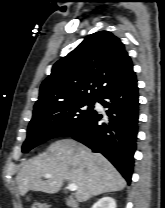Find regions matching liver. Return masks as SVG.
<instances>
[{"instance_id":"obj_1","label":"liver","mask_w":165,"mask_h":208,"mask_svg":"<svg viewBox=\"0 0 165 208\" xmlns=\"http://www.w3.org/2000/svg\"><path fill=\"white\" fill-rule=\"evenodd\" d=\"M46 174L51 177L46 178ZM64 181L77 185L78 202L126 186L125 179L103 155L70 139L56 141L44 154L26 161L16 177L21 196L29 190L55 194Z\"/></svg>"}]
</instances>
